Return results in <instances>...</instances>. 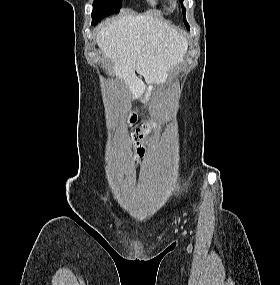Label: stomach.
Returning <instances> with one entry per match:
<instances>
[{"instance_id":"0dacf381","label":"stomach","mask_w":280,"mask_h":285,"mask_svg":"<svg viewBox=\"0 0 280 285\" xmlns=\"http://www.w3.org/2000/svg\"><path fill=\"white\" fill-rule=\"evenodd\" d=\"M155 90L154 85H150L147 91L144 93V95L141 97V100L143 103H148L153 98V92Z\"/></svg>"}]
</instances>
